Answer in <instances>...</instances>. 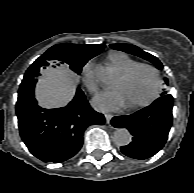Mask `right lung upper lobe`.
Instances as JSON below:
<instances>
[{
  "instance_id": "1",
  "label": "right lung upper lobe",
  "mask_w": 194,
  "mask_h": 193,
  "mask_svg": "<svg viewBox=\"0 0 194 193\" xmlns=\"http://www.w3.org/2000/svg\"><path fill=\"white\" fill-rule=\"evenodd\" d=\"M105 45H76L70 43H62L52 46L42 56H40L28 69L27 76L31 84L37 81V76L40 75V70L46 69L47 66L56 68L64 64L65 66L72 59L89 60L98 55Z\"/></svg>"
}]
</instances>
